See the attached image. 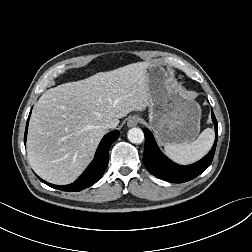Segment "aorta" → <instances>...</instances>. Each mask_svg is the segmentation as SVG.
Masks as SVG:
<instances>
[{
  "label": "aorta",
  "instance_id": "obj_1",
  "mask_svg": "<svg viewBox=\"0 0 252 252\" xmlns=\"http://www.w3.org/2000/svg\"><path fill=\"white\" fill-rule=\"evenodd\" d=\"M128 140L134 144H141L144 141V133L140 128H131L127 133Z\"/></svg>",
  "mask_w": 252,
  "mask_h": 252
}]
</instances>
